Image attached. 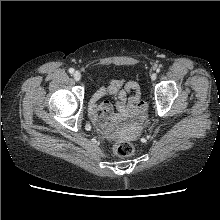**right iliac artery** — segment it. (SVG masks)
Segmentation results:
<instances>
[{"instance_id":"obj_1","label":"right iliac artery","mask_w":220,"mask_h":220,"mask_svg":"<svg viewBox=\"0 0 220 220\" xmlns=\"http://www.w3.org/2000/svg\"><path fill=\"white\" fill-rule=\"evenodd\" d=\"M73 72H74V69H73V68H70V69H69V73L72 74Z\"/></svg>"}]
</instances>
